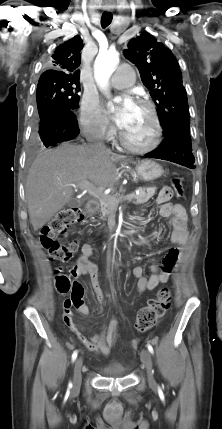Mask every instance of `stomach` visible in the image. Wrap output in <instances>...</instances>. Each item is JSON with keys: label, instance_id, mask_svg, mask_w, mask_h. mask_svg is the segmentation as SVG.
<instances>
[{"label": "stomach", "instance_id": "stomach-1", "mask_svg": "<svg viewBox=\"0 0 222 429\" xmlns=\"http://www.w3.org/2000/svg\"><path fill=\"white\" fill-rule=\"evenodd\" d=\"M137 179L142 181H153L163 174V168L152 160H145L136 165Z\"/></svg>", "mask_w": 222, "mask_h": 429}]
</instances>
